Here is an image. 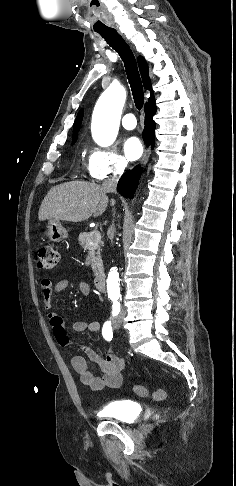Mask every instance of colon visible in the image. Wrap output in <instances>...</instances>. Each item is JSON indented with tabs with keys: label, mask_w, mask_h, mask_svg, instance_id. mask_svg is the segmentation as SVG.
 Masks as SVG:
<instances>
[{
	"label": "colon",
	"mask_w": 236,
	"mask_h": 486,
	"mask_svg": "<svg viewBox=\"0 0 236 486\" xmlns=\"http://www.w3.org/2000/svg\"><path fill=\"white\" fill-rule=\"evenodd\" d=\"M59 262V253L50 246L42 247L38 252V265L41 269L51 270L57 266ZM134 392L141 398H151L155 401H163L167 398L168 392L165 389H158L150 391L142 385L134 387Z\"/></svg>",
	"instance_id": "5ec220e1"
}]
</instances>
